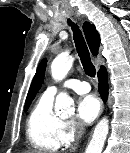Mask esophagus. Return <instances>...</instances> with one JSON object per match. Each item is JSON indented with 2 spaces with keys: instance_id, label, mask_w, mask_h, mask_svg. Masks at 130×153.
Instances as JSON below:
<instances>
[{
  "instance_id": "34e87169",
  "label": "esophagus",
  "mask_w": 130,
  "mask_h": 153,
  "mask_svg": "<svg viewBox=\"0 0 130 153\" xmlns=\"http://www.w3.org/2000/svg\"><path fill=\"white\" fill-rule=\"evenodd\" d=\"M102 111H103V106L101 107V111H100V114L102 113Z\"/></svg>"
}]
</instances>
